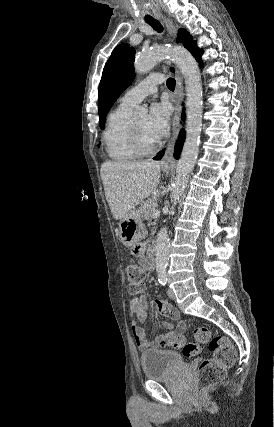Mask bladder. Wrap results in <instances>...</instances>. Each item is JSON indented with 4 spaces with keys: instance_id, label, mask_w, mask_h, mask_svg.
Segmentation results:
<instances>
[{
    "instance_id": "1",
    "label": "bladder",
    "mask_w": 274,
    "mask_h": 427,
    "mask_svg": "<svg viewBox=\"0 0 274 427\" xmlns=\"http://www.w3.org/2000/svg\"><path fill=\"white\" fill-rule=\"evenodd\" d=\"M180 355L169 349H149L140 354L144 376L148 380L171 377L179 368Z\"/></svg>"
}]
</instances>
